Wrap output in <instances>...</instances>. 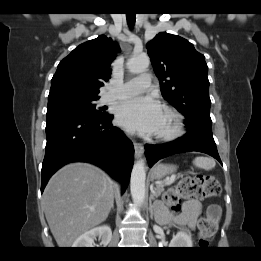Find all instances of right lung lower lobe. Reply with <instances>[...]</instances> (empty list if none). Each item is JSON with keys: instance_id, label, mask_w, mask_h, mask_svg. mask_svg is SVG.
Segmentation results:
<instances>
[{"instance_id": "1", "label": "right lung lower lobe", "mask_w": 261, "mask_h": 261, "mask_svg": "<svg viewBox=\"0 0 261 261\" xmlns=\"http://www.w3.org/2000/svg\"><path fill=\"white\" fill-rule=\"evenodd\" d=\"M112 119L110 114L100 117L63 114L47 118L41 193L58 169L75 161L101 167L120 181L125 191L134 161V147L119 128L113 127Z\"/></svg>"}]
</instances>
